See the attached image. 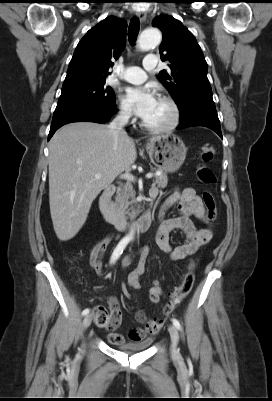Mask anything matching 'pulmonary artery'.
I'll return each instance as SVG.
<instances>
[{
    "label": "pulmonary artery",
    "mask_w": 272,
    "mask_h": 401,
    "mask_svg": "<svg viewBox=\"0 0 272 401\" xmlns=\"http://www.w3.org/2000/svg\"><path fill=\"white\" fill-rule=\"evenodd\" d=\"M157 66V58L148 56L143 61V69L139 67H126L121 75V78L129 83L140 84L147 78V72L155 69Z\"/></svg>",
    "instance_id": "obj_1"
}]
</instances>
